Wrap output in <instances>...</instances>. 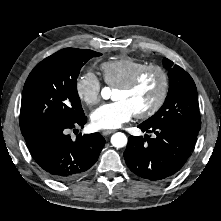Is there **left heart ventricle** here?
<instances>
[{"label":"left heart ventricle","instance_id":"b2bd125f","mask_svg":"<svg viewBox=\"0 0 221 221\" xmlns=\"http://www.w3.org/2000/svg\"><path fill=\"white\" fill-rule=\"evenodd\" d=\"M161 88V78L155 71L148 72L131 90H115L114 100H123L128 103L134 113L148 109L156 100Z\"/></svg>","mask_w":221,"mask_h":221}]
</instances>
